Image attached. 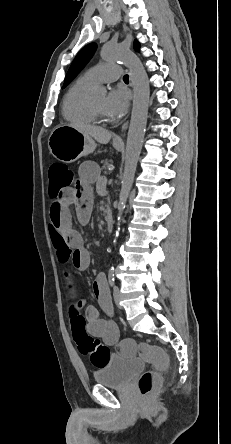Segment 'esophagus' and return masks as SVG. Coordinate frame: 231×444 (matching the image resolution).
<instances>
[{"instance_id": "esophagus-1", "label": "esophagus", "mask_w": 231, "mask_h": 444, "mask_svg": "<svg viewBox=\"0 0 231 444\" xmlns=\"http://www.w3.org/2000/svg\"><path fill=\"white\" fill-rule=\"evenodd\" d=\"M125 31H126V27H124ZM128 126V122L126 121L123 125H122V130L125 131L127 129ZM114 140L116 142H122L123 140V136L122 135H117Z\"/></svg>"}]
</instances>
